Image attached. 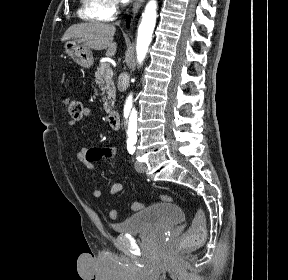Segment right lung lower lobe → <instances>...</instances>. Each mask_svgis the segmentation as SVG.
<instances>
[{
    "instance_id": "right-lung-lower-lobe-1",
    "label": "right lung lower lobe",
    "mask_w": 288,
    "mask_h": 280,
    "mask_svg": "<svg viewBox=\"0 0 288 280\" xmlns=\"http://www.w3.org/2000/svg\"><path fill=\"white\" fill-rule=\"evenodd\" d=\"M129 22H130V17L127 18V22H126L127 26H129Z\"/></svg>"
}]
</instances>
